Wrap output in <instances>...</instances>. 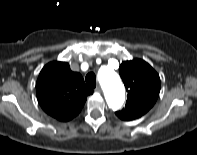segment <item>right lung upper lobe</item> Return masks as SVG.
I'll use <instances>...</instances> for the list:
<instances>
[{"instance_id":"cb5924a9","label":"right lung upper lobe","mask_w":197,"mask_h":155,"mask_svg":"<svg viewBox=\"0 0 197 155\" xmlns=\"http://www.w3.org/2000/svg\"><path fill=\"white\" fill-rule=\"evenodd\" d=\"M92 93L82 76L72 72L66 62L54 61L44 66L36 83L40 106L59 121H69L77 116Z\"/></svg>"}]
</instances>
